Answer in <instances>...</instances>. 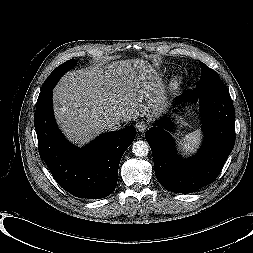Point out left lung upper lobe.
Instances as JSON below:
<instances>
[{
	"instance_id": "left-lung-upper-lobe-1",
	"label": "left lung upper lobe",
	"mask_w": 253,
	"mask_h": 253,
	"mask_svg": "<svg viewBox=\"0 0 253 253\" xmlns=\"http://www.w3.org/2000/svg\"><path fill=\"white\" fill-rule=\"evenodd\" d=\"M201 66V78L193 90L199 95L208 93L218 87L221 83V79L218 74L204 63L200 62Z\"/></svg>"
}]
</instances>
